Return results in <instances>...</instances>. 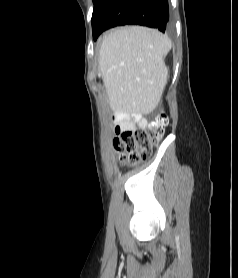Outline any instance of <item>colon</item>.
I'll return each instance as SVG.
<instances>
[{"label": "colon", "mask_w": 238, "mask_h": 278, "mask_svg": "<svg viewBox=\"0 0 238 278\" xmlns=\"http://www.w3.org/2000/svg\"><path fill=\"white\" fill-rule=\"evenodd\" d=\"M168 124L165 113H160L156 120L145 128H136L117 133L114 147L121 159L129 164H137L141 160H147L155 145L164 135Z\"/></svg>", "instance_id": "obj_1"}]
</instances>
